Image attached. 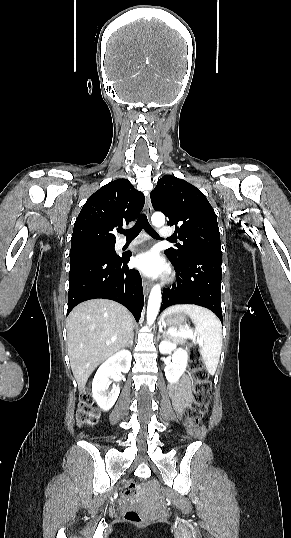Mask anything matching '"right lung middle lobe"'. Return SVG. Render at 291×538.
<instances>
[{
    "mask_svg": "<svg viewBox=\"0 0 291 538\" xmlns=\"http://www.w3.org/2000/svg\"><path fill=\"white\" fill-rule=\"evenodd\" d=\"M115 245H92L70 250V261L80 260L89 257H118Z\"/></svg>",
    "mask_w": 291,
    "mask_h": 538,
    "instance_id": "right-lung-middle-lobe-1",
    "label": "right lung middle lobe"
}]
</instances>
